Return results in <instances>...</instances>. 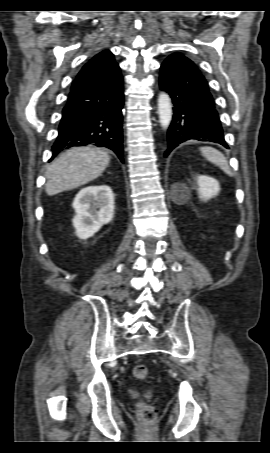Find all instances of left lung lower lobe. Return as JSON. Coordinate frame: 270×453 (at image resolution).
<instances>
[{"label": "left lung lower lobe", "mask_w": 270, "mask_h": 453, "mask_svg": "<svg viewBox=\"0 0 270 453\" xmlns=\"http://www.w3.org/2000/svg\"><path fill=\"white\" fill-rule=\"evenodd\" d=\"M159 83L174 104L165 157L188 140L211 141L229 148L208 82L190 59L180 53L170 55L161 66Z\"/></svg>", "instance_id": "left-lung-lower-lobe-1"}]
</instances>
